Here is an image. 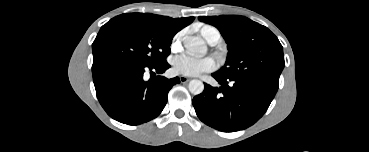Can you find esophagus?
<instances>
[{
	"instance_id": "esophagus-1",
	"label": "esophagus",
	"mask_w": 369,
	"mask_h": 152,
	"mask_svg": "<svg viewBox=\"0 0 369 152\" xmlns=\"http://www.w3.org/2000/svg\"><path fill=\"white\" fill-rule=\"evenodd\" d=\"M179 79H180L181 83H186L190 80L188 77H185V76H180Z\"/></svg>"
}]
</instances>
